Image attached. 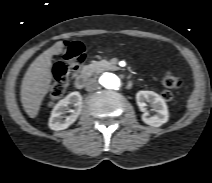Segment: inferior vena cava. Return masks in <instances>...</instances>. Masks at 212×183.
<instances>
[{
  "mask_svg": "<svg viewBox=\"0 0 212 183\" xmlns=\"http://www.w3.org/2000/svg\"><path fill=\"white\" fill-rule=\"evenodd\" d=\"M99 88V83L97 79L91 78L86 83V90L87 91H94Z\"/></svg>",
  "mask_w": 212,
  "mask_h": 183,
  "instance_id": "inferior-vena-cava-1",
  "label": "inferior vena cava"
}]
</instances>
